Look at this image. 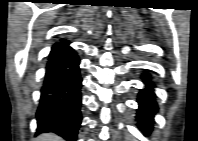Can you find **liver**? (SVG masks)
<instances>
[{
    "label": "liver",
    "mask_w": 198,
    "mask_h": 141,
    "mask_svg": "<svg viewBox=\"0 0 198 141\" xmlns=\"http://www.w3.org/2000/svg\"><path fill=\"white\" fill-rule=\"evenodd\" d=\"M38 141H62V138L52 133H45L38 137Z\"/></svg>",
    "instance_id": "obj_1"
}]
</instances>
